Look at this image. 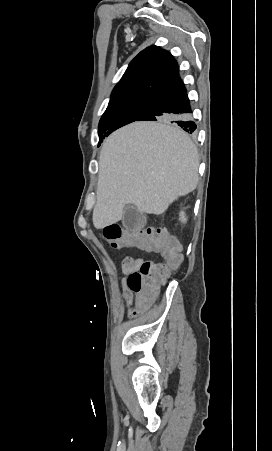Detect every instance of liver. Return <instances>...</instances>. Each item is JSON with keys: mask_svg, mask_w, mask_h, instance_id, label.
Masks as SVG:
<instances>
[{"mask_svg": "<svg viewBox=\"0 0 272 451\" xmlns=\"http://www.w3.org/2000/svg\"><path fill=\"white\" fill-rule=\"evenodd\" d=\"M198 168L197 148L181 128L168 122L120 128L101 148L94 227L122 220L126 204L138 212L163 214L179 196L195 190Z\"/></svg>", "mask_w": 272, "mask_h": 451, "instance_id": "1", "label": "liver"}]
</instances>
